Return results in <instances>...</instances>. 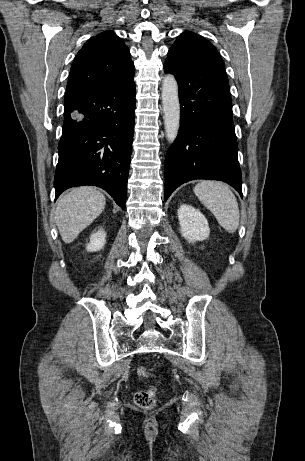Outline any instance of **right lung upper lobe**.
I'll list each match as a JSON object with an SVG mask.
<instances>
[{
	"label": "right lung upper lobe",
	"mask_w": 305,
	"mask_h": 461,
	"mask_svg": "<svg viewBox=\"0 0 305 461\" xmlns=\"http://www.w3.org/2000/svg\"><path fill=\"white\" fill-rule=\"evenodd\" d=\"M127 46L113 32L89 39L78 52L70 69L67 93L106 87L134 75Z\"/></svg>",
	"instance_id": "right-lung-upper-lobe-1"
}]
</instances>
